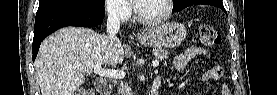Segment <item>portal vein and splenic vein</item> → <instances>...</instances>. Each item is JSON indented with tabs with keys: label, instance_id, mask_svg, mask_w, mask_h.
Instances as JSON below:
<instances>
[{
	"label": "portal vein and splenic vein",
	"instance_id": "obj_1",
	"mask_svg": "<svg viewBox=\"0 0 277 95\" xmlns=\"http://www.w3.org/2000/svg\"><path fill=\"white\" fill-rule=\"evenodd\" d=\"M153 67L159 66V61L155 60L152 62ZM94 74L100 77L114 78V79H123L125 77V72L120 70H109L104 69L100 64H97L94 69Z\"/></svg>",
	"mask_w": 277,
	"mask_h": 95
}]
</instances>
